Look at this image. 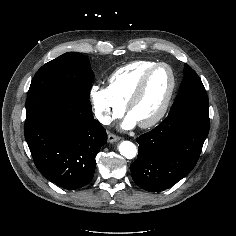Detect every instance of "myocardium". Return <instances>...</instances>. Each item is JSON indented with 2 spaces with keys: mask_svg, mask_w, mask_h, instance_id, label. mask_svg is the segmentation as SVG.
<instances>
[{
  "mask_svg": "<svg viewBox=\"0 0 236 236\" xmlns=\"http://www.w3.org/2000/svg\"><path fill=\"white\" fill-rule=\"evenodd\" d=\"M164 67L166 69H168L170 76H171V85L168 91V94L165 98V101L161 107V109L159 110V112L150 120L146 121V122H142L139 123V126L141 128H151L153 126H155L156 124H158L163 117L165 116V114L167 113L169 106L171 104L172 98L174 96L175 93V89H176V75L175 72L173 70V68L164 62H159L154 64L153 66H151L150 68H148L144 74L142 75V77L140 78L137 86L135 87L134 91L132 92L131 96L129 97L128 101L126 102V111L129 114L131 108L136 104V102L140 99V97L142 96L145 87L147 85V82L150 78V76L152 75V73L157 70L158 68Z\"/></svg>",
  "mask_w": 236,
  "mask_h": 236,
  "instance_id": "obj_1",
  "label": "myocardium"
}]
</instances>
